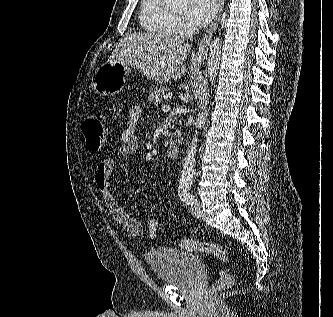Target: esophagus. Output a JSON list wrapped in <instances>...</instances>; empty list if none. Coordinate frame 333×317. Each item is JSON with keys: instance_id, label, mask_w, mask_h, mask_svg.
Wrapping results in <instances>:
<instances>
[{"instance_id": "34e87169", "label": "esophagus", "mask_w": 333, "mask_h": 317, "mask_svg": "<svg viewBox=\"0 0 333 317\" xmlns=\"http://www.w3.org/2000/svg\"><path fill=\"white\" fill-rule=\"evenodd\" d=\"M223 5H224V0H219L218 13H217L214 21L212 22L210 27L207 29V31L205 32L203 38L201 39V41L199 43V46H198L197 51L195 53V57H197L199 59L204 58L206 53H207V50H208L213 32L215 31V29L218 25V22L220 20V17H221L222 11H223Z\"/></svg>"}]
</instances>
